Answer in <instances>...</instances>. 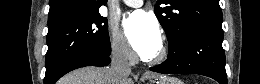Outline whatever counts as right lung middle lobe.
Listing matches in <instances>:
<instances>
[{
    "label": "right lung middle lobe",
    "mask_w": 260,
    "mask_h": 84,
    "mask_svg": "<svg viewBox=\"0 0 260 84\" xmlns=\"http://www.w3.org/2000/svg\"><path fill=\"white\" fill-rule=\"evenodd\" d=\"M46 74H52L64 61L76 55L111 54L107 19L99 12L48 28Z\"/></svg>",
    "instance_id": "1"
}]
</instances>
